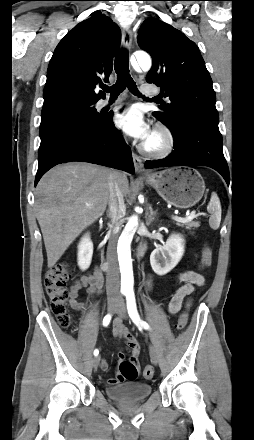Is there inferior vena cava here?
<instances>
[{
    "instance_id": "obj_1",
    "label": "inferior vena cava",
    "mask_w": 254,
    "mask_h": 440,
    "mask_svg": "<svg viewBox=\"0 0 254 440\" xmlns=\"http://www.w3.org/2000/svg\"><path fill=\"white\" fill-rule=\"evenodd\" d=\"M108 214L112 227L109 231L107 248L108 269L106 274L107 295H119V267L117 261V242L122 225V218L126 213L123 193L119 187L117 172H112L109 182Z\"/></svg>"
}]
</instances>
